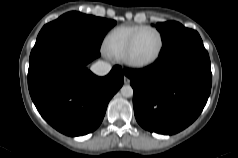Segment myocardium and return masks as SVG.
Instances as JSON below:
<instances>
[{"label": "myocardium", "instance_id": "obj_1", "mask_svg": "<svg viewBox=\"0 0 238 158\" xmlns=\"http://www.w3.org/2000/svg\"><path fill=\"white\" fill-rule=\"evenodd\" d=\"M146 30H152L157 33V35L159 37V48H158V51L156 52V54L151 59L145 60V61H138L133 58L134 46H135V43H136L138 37L140 36V34ZM163 48H164V38H163L161 31L153 26H144V27L140 28L138 31H136L133 34V36L131 37V39L127 45V48L125 50L123 60L127 65H129L131 67H135V68L147 67V66L152 65L159 59V57L162 54Z\"/></svg>", "mask_w": 238, "mask_h": 158}]
</instances>
